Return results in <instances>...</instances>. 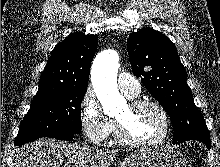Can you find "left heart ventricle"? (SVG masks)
Listing matches in <instances>:
<instances>
[{
	"label": "left heart ventricle",
	"mask_w": 220,
	"mask_h": 167,
	"mask_svg": "<svg viewBox=\"0 0 220 167\" xmlns=\"http://www.w3.org/2000/svg\"><path fill=\"white\" fill-rule=\"evenodd\" d=\"M131 138L151 140L159 137L164 130L161 113L152 106L132 109L127 105L117 116Z\"/></svg>",
	"instance_id": "obj_1"
}]
</instances>
